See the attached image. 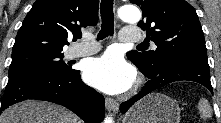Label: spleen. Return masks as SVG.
Segmentation results:
<instances>
[{
	"label": "spleen",
	"instance_id": "1",
	"mask_svg": "<svg viewBox=\"0 0 221 123\" xmlns=\"http://www.w3.org/2000/svg\"><path fill=\"white\" fill-rule=\"evenodd\" d=\"M200 115L202 118H210L212 116L211 107L206 99H201L198 104Z\"/></svg>",
	"mask_w": 221,
	"mask_h": 123
}]
</instances>
